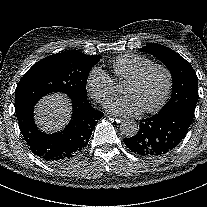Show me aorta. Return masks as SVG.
Masks as SVG:
<instances>
[{"label": "aorta", "instance_id": "aorta-1", "mask_svg": "<svg viewBox=\"0 0 207 207\" xmlns=\"http://www.w3.org/2000/svg\"><path fill=\"white\" fill-rule=\"evenodd\" d=\"M139 127L133 120H126L120 124V131L125 137H133L138 133Z\"/></svg>", "mask_w": 207, "mask_h": 207}]
</instances>
